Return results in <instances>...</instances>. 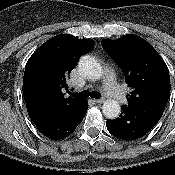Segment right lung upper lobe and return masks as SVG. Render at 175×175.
I'll list each match as a JSON object with an SVG mask.
<instances>
[{
    "label": "right lung upper lobe",
    "instance_id": "right-lung-upper-lobe-1",
    "mask_svg": "<svg viewBox=\"0 0 175 175\" xmlns=\"http://www.w3.org/2000/svg\"><path fill=\"white\" fill-rule=\"evenodd\" d=\"M92 48L91 40L60 34L33 53L25 66L23 96L34 122L52 112H75L87 106L80 94L71 92L66 79L79 58Z\"/></svg>",
    "mask_w": 175,
    "mask_h": 175
}]
</instances>
